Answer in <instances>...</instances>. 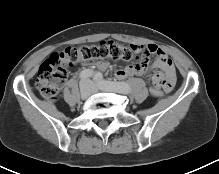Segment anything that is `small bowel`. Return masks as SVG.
<instances>
[{
    "label": "small bowel",
    "mask_w": 219,
    "mask_h": 174,
    "mask_svg": "<svg viewBox=\"0 0 219 174\" xmlns=\"http://www.w3.org/2000/svg\"><path fill=\"white\" fill-rule=\"evenodd\" d=\"M136 52L144 51V58H148V55L156 54L157 58L154 62L156 68L161 69L163 72H157L153 75L152 80L154 84L160 86L165 92H170L176 81L175 68L168 55L157 45L150 44L146 47L134 44L132 45ZM108 66L106 62H98L97 67L99 69H105ZM146 67L138 65H130L122 70L117 71L116 76L119 79H124L129 76L141 75L146 71Z\"/></svg>",
    "instance_id": "obj_1"
}]
</instances>
